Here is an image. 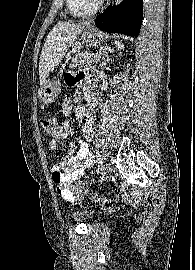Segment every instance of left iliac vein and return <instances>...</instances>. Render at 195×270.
Wrapping results in <instances>:
<instances>
[{"label":"left iliac vein","mask_w":195,"mask_h":270,"mask_svg":"<svg viewBox=\"0 0 195 270\" xmlns=\"http://www.w3.org/2000/svg\"><path fill=\"white\" fill-rule=\"evenodd\" d=\"M111 171H112V167L110 166V164H106L101 170V176L99 179V183L106 181L108 179Z\"/></svg>","instance_id":"1"}]
</instances>
